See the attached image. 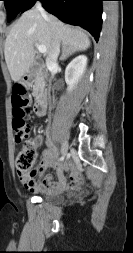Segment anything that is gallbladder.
Segmentation results:
<instances>
[{
  "label": "gallbladder",
  "instance_id": "gallbladder-1",
  "mask_svg": "<svg viewBox=\"0 0 133 253\" xmlns=\"http://www.w3.org/2000/svg\"><path fill=\"white\" fill-rule=\"evenodd\" d=\"M35 71H36V66L33 65V66H31L30 69H29V74H35Z\"/></svg>",
  "mask_w": 133,
  "mask_h": 253
}]
</instances>
